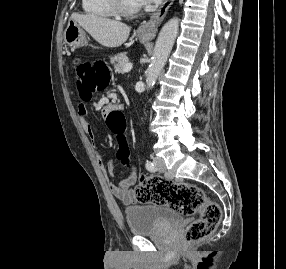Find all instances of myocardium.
Here are the masks:
<instances>
[{
    "mask_svg": "<svg viewBox=\"0 0 286 269\" xmlns=\"http://www.w3.org/2000/svg\"><path fill=\"white\" fill-rule=\"evenodd\" d=\"M114 15L122 17H130L138 14L141 10L140 6L128 8L123 4L122 0H105Z\"/></svg>",
    "mask_w": 286,
    "mask_h": 269,
    "instance_id": "myocardium-1",
    "label": "myocardium"
}]
</instances>
